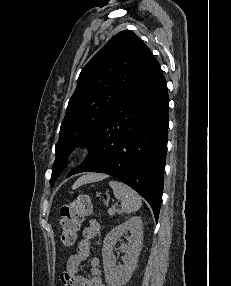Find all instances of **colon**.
<instances>
[{
    "label": "colon",
    "instance_id": "1",
    "mask_svg": "<svg viewBox=\"0 0 231 286\" xmlns=\"http://www.w3.org/2000/svg\"><path fill=\"white\" fill-rule=\"evenodd\" d=\"M92 203L88 195L81 194L73 202L60 210V238L65 246H72L78 237L80 225L86 215L92 212Z\"/></svg>",
    "mask_w": 231,
    "mask_h": 286
}]
</instances>
